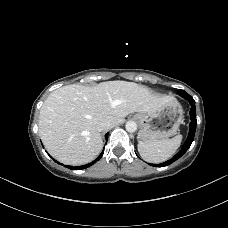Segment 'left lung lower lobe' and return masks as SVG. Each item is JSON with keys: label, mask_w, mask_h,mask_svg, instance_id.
<instances>
[{"label": "left lung lower lobe", "mask_w": 228, "mask_h": 228, "mask_svg": "<svg viewBox=\"0 0 228 228\" xmlns=\"http://www.w3.org/2000/svg\"><path fill=\"white\" fill-rule=\"evenodd\" d=\"M182 97L187 99L191 104V109H190L191 123H190L189 135H188L185 143L183 144L181 150L175 156H173V158H171L170 160H168L166 162L160 163V164H151L152 166L164 167V166L170 165L171 163L175 162L176 160H178L180 157H182L185 154V152L189 149V147L191 146V144L194 140L196 125H197L196 110H195V105H194L195 101H194L193 97H191L187 93L183 94Z\"/></svg>", "instance_id": "obj_1"}]
</instances>
